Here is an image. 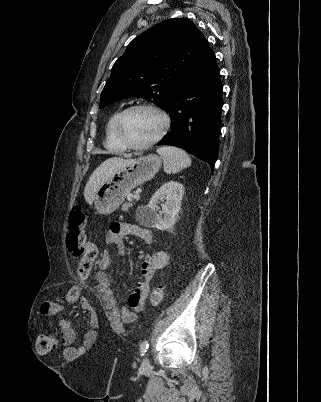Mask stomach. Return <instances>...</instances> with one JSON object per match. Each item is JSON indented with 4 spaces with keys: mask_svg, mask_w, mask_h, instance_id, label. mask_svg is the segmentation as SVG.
I'll list each match as a JSON object with an SVG mask.
<instances>
[{
    "mask_svg": "<svg viewBox=\"0 0 321 402\" xmlns=\"http://www.w3.org/2000/svg\"><path fill=\"white\" fill-rule=\"evenodd\" d=\"M162 165L161 158L149 154L134 160L111 175L95 192L94 208L100 214H111L126 199L132 189L152 179Z\"/></svg>",
    "mask_w": 321,
    "mask_h": 402,
    "instance_id": "1",
    "label": "stomach"
}]
</instances>
